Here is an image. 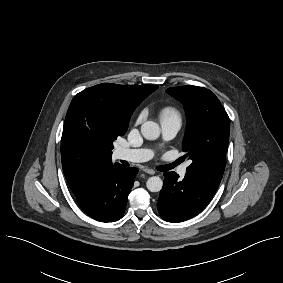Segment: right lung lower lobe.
I'll return each mask as SVG.
<instances>
[{
  "instance_id": "98d812e1",
  "label": "right lung lower lobe",
  "mask_w": 283,
  "mask_h": 283,
  "mask_svg": "<svg viewBox=\"0 0 283 283\" xmlns=\"http://www.w3.org/2000/svg\"><path fill=\"white\" fill-rule=\"evenodd\" d=\"M137 173L136 168L112 164L111 160L97 163L74 195L80 207L93 219L117 221L124 214Z\"/></svg>"
}]
</instances>
